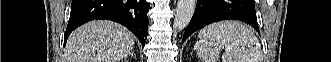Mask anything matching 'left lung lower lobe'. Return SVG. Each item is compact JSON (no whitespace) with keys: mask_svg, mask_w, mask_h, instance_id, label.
I'll use <instances>...</instances> for the list:
<instances>
[{"mask_svg":"<svg viewBox=\"0 0 331 62\" xmlns=\"http://www.w3.org/2000/svg\"><path fill=\"white\" fill-rule=\"evenodd\" d=\"M230 19L246 22L258 30L254 0H198L182 42L206 25Z\"/></svg>","mask_w":331,"mask_h":62,"instance_id":"obj_1","label":"left lung lower lobe"}]
</instances>
